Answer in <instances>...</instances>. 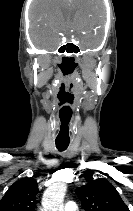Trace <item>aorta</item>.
Masks as SVG:
<instances>
[{
    "label": "aorta",
    "mask_w": 133,
    "mask_h": 211,
    "mask_svg": "<svg viewBox=\"0 0 133 211\" xmlns=\"http://www.w3.org/2000/svg\"><path fill=\"white\" fill-rule=\"evenodd\" d=\"M66 190L67 185L64 182H57L49 186L43 195L42 211H63Z\"/></svg>",
    "instance_id": "1"
}]
</instances>
